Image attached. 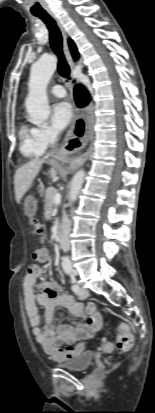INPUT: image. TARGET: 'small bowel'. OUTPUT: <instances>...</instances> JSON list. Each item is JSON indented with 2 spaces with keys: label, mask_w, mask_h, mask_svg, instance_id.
<instances>
[{
  "label": "small bowel",
  "mask_w": 155,
  "mask_h": 413,
  "mask_svg": "<svg viewBox=\"0 0 155 413\" xmlns=\"http://www.w3.org/2000/svg\"><path fill=\"white\" fill-rule=\"evenodd\" d=\"M43 269L38 264L29 266L24 278L25 313L32 328L35 340L57 362L67 361L84 351V345L77 343L79 339L91 338L101 327L102 317L98 313H85L81 302L72 296L63 293L62 289L53 282H39ZM39 288L37 294L35 287ZM39 307L44 308L45 326L40 327L41 316ZM63 307L70 314L85 318V322L73 324H59L52 327L55 310ZM66 345L65 349L61 346Z\"/></svg>",
  "instance_id": "small-bowel-1"
}]
</instances>
